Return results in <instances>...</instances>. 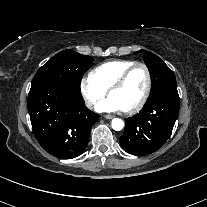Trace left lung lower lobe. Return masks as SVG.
Returning <instances> with one entry per match:
<instances>
[{
	"instance_id": "left-lung-lower-lobe-1",
	"label": "left lung lower lobe",
	"mask_w": 207,
	"mask_h": 207,
	"mask_svg": "<svg viewBox=\"0 0 207 207\" xmlns=\"http://www.w3.org/2000/svg\"><path fill=\"white\" fill-rule=\"evenodd\" d=\"M179 112L177 88L150 97L140 113L126 119L122 148L132 155H148L158 150L171 135Z\"/></svg>"
}]
</instances>
